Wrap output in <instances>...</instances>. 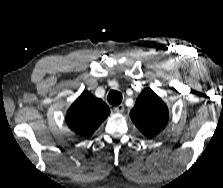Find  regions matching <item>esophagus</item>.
I'll use <instances>...</instances> for the list:
<instances>
[{
  "label": "esophagus",
  "mask_w": 223,
  "mask_h": 188,
  "mask_svg": "<svg viewBox=\"0 0 223 188\" xmlns=\"http://www.w3.org/2000/svg\"><path fill=\"white\" fill-rule=\"evenodd\" d=\"M113 110L116 113H122L124 111V105L123 104L117 105L113 108Z\"/></svg>",
  "instance_id": "esophagus-1"
}]
</instances>
